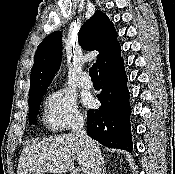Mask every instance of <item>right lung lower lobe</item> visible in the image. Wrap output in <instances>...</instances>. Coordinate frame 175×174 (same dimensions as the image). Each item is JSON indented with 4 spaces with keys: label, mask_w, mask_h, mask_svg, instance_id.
Returning <instances> with one entry per match:
<instances>
[{
    "label": "right lung lower lobe",
    "mask_w": 175,
    "mask_h": 174,
    "mask_svg": "<svg viewBox=\"0 0 175 174\" xmlns=\"http://www.w3.org/2000/svg\"><path fill=\"white\" fill-rule=\"evenodd\" d=\"M100 76L102 90L97 98L101 106L87 112V134L108 148L131 151V107L121 55L106 65Z\"/></svg>",
    "instance_id": "1"
}]
</instances>
